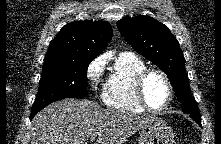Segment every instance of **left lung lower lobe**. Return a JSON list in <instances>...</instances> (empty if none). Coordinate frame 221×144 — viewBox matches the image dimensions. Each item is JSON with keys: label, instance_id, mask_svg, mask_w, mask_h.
<instances>
[{"label": "left lung lower lobe", "instance_id": "0a47b994", "mask_svg": "<svg viewBox=\"0 0 221 144\" xmlns=\"http://www.w3.org/2000/svg\"><path fill=\"white\" fill-rule=\"evenodd\" d=\"M195 120L199 125H201V119H193Z\"/></svg>", "mask_w": 221, "mask_h": 144}]
</instances>
